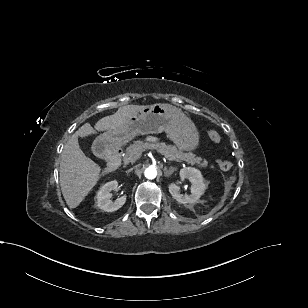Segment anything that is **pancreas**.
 Here are the masks:
<instances>
[{
	"label": "pancreas",
	"mask_w": 308,
	"mask_h": 308,
	"mask_svg": "<svg viewBox=\"0 0 308 308\" xmlns=\"http://www.w3.org/2000/svg\"><path fill=\"white\" fill-rule=\"evenodd\" d=\"M146 149H156L164 156L174 157L175 159L184 160L192 165H198L201 168H205L208 165L206 160L202 161L201 157H196L192 153H183L175 146L168 145L164 142H143L141 140L134 141L127 149L123 156V162L125 164L134 163L140 158L141 154Z\"/></svg>",
	"instance_id": "obj_1"
}]
</instances>
